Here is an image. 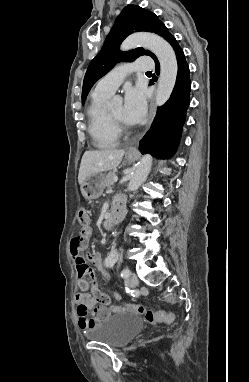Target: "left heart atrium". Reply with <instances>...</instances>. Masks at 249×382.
I'll list each match as a JSON object with an SVG mask.
<instances>
[{"label": "left heart atrium", "instance_id": "left-heart-atrium-1", "mask_svg": "<svg viewBox=\"0 0 249 382\" xmlns=\"http://www.w3.org/2000/svg\"><path fill=\"white\" fill-rule=\"evenodd\" d=\"M146 112V97L142 88L130 87L126 90L123 119L129 125L140 123Z\"/></svg>", "mask_w": 249, "mask_h": 382}]
</instances>
